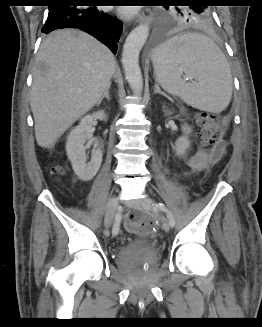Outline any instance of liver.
<instances>
[{
	"label": "liver",
	"instance_id": "6515ba94",
	"mask_svg": "<svg viewBox=\"0 0 262 327\" xmlns=\"http://www.w3.org/2000/svg\"><path fill=\"white\" fill-rule=\"evenodd\" d=\"M115 69L112 52L87 33L63 29L50 34L37 54L30 97L37 144L53 147L98 104Z\"/></svg>",
	"mask_w": 262,
	"mask_h": 327
}]
</instances>
